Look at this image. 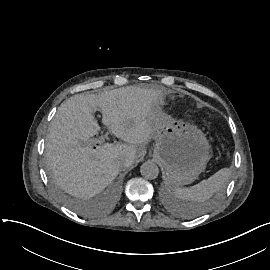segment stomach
<instances>
[{
  "label": "stomach",
  "mask_w": 270,
  "mask_h": 270,
  "mask_svg": "<svg viewBox=\"0 0 270 270\" xmlns=\"http://www.w3.org/2000/svg\"><path fill=\"white\" fill-rule=\"evenodd\" d=\"M155 141L152 157L164 168L173 185L190 184L205 171L209 144L197 126L160 115L154 122Z\"/></svg>",
  "instance_id": "stomach-1"
}]
</instances>
